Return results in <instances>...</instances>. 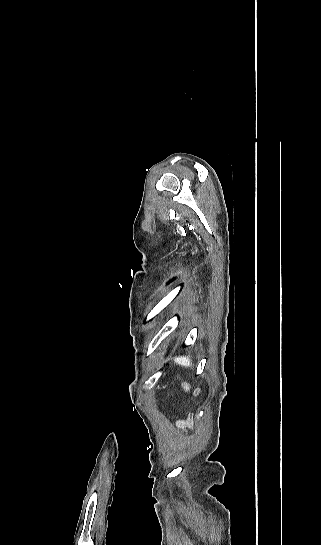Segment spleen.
I'll return each instance as SVG.
<instances>
[{
	"mask_svg": "<svg viewBox=\"0 0 321 545\" xmlns=\"http://www.w3.org/2000/svg\"><path fill=\"white\" fill-rule=\"evenodd\" d=\"M174 361L177 365H182V367H191L192 365L189 357H176Z\"/></svg>",
	"mask_w": 321,
	"mask_h": 545,
	"instance_id": "3e777b00",
	"label": "spleen"
}]
</instances>
